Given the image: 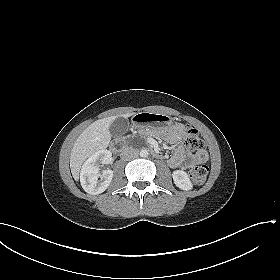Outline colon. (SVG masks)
Returning <instances> with one entry per match:
<instances>
[{
  "instance_id": "colon-1",
  "label": "colon",
  "mask_w": 280,
  "mask_h": 280,
  "mask_svg": "<svg viewBox=\"0 0 280 280\" xmlns=\"http://www.w3.org/2000/svg\"><path fill=\"white\" fill-rule=\"evenodd\" d=\"M183 136L185 144L190 150L200 151L203 149L204 143L196 129L192 127H185ZM208 170L209 168L206 164L196 165L189 169V177L195 184H202L207 178Z\"/></svg>"
}]
</instances>
